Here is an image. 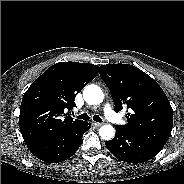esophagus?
Instances as JSON below:
<instances>
[{
	"label": "esophagus",
	"instance_id": "obj_1",
	"mask_svg": "<svg viewBox=\"0 0 184 184\" xmlns=\"http://www.w3.org/2000/svg\"><path fill=\"white\" fill-rule=\"evenodd\" d=\"M92 125H94L95 127H100L102 125V123L92 122Z\"/></svg>",
	"mask_w": 184,
	"mask_h": 184
}]
</instances>
